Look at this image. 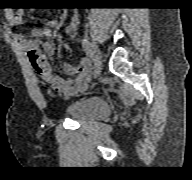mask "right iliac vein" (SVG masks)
Instances as JSON below:
<instances>
[{"mask_svg":"<svg viewBox=\"0 0 192 180\" xmlns=\"http://www.w3.org/2000/svg\"><path fill=\"white\" fill-rule=\"evenodd\" d=\"M92 51L94 54V77L96 78L100 75V72H101L102 57L98 49V46L95 43L92 44Z\"/></svg>","mask_w":192,"mask_h":180,"instance_id":"obj_1","label":"right iliac vein"}]
</instances>
